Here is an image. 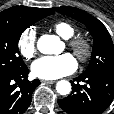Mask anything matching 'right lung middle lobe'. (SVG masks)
<instances>
[{
	"label": "right lung middle lobe",
	"mask_w": 114,
	"mask_h": 114,
	"mask_svg": "<svg viewBox=\"0 0 114 114\" xmlns=\"http://www.w3.org/2000/svg\"><path fill=\"white\" fill-rule=\"evenodd\" d=\"M33 20H0V75H8L23 69L18 49L22 32L34 24Z\"/></svg>",
	"instance_id": "dd1d6c3e"
}]
</instances>
